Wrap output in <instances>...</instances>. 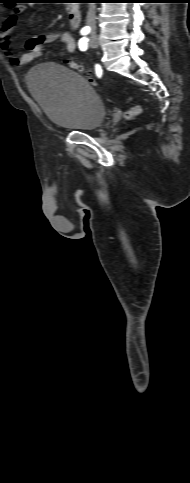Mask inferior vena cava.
Returning a JSON list of instances; mask_svg holds the SVG:
<instances>
[{
    "mask_svg": "<svg viewBox=\"0 0 190 483\" xmlns=\"http://www.w3.org/2000/svg\"><path fill=\"white\" fill-rule=\"evenodd\" d=\"M95 20H96V5L95 3H89V9L86 17V24L91 26L92 30H95Z\"/></svg>",
    "mask_w": 190,
    "mask_h": 483,
    "instance_id": "inferior-vena-cava-1",
    "label": "inferior vena cava"
}]
</instances>
